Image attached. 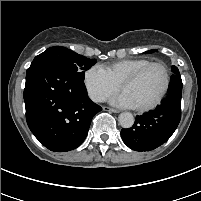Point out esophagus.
<instances>
[{
    "label": "esophagus",
    "instance_id": "1",
    "mask_svg": "<svg viewBox=\"0 0 201 201\" xmlns=\"http://www.w3.org/2000/svg\"><path fill=\"white\" fill-rule=\"evenodd\" d=\"M103 110L111 113H119V110L110 107H103Z\"/></svg>",
    "mask_w": 201,
    "mask_h": 201
}]
</instances>
